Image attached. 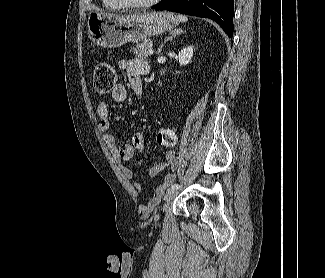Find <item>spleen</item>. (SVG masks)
Segmentation results:
<instances>
[{"instance_id": "obj_1", "label": "spleen", "mask_w": 325, "mask_h": 278, "mask_svg": "<svg viewBox=\"0 0 325 278\" xmlns=\"http://www.w3.org/2000/svg\"><path fill=\"white\" fill-rule=\"evenodd\" d=\"M177 18H178V20L181 21V22H186V21H187V17L184 16V15H178Z\"/></svg>"}]
</instances>
